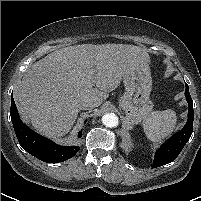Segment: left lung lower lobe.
<instances>
[{
    "label": "left lung lower lobe",
    "instance_id": "0a47b994",
    "mask_svg": "<svg viewBox=\"0 0 201 201\" xmlns=\"http://www.w3.org/2000/svg\"><path fill=\"white\" fill-rule=\"evenodd\" d=\"M186 84V83H185ZM185 97L189 105L188 120L183 129L174 134L165 144H163L155 154L152 168L171 163L180 154L185 144L188 142L193 131V101L189 93V87L186 84Z\"/></svg>",
    "mask_w": 201,
    "mask_h": 201
}]
</instances>
